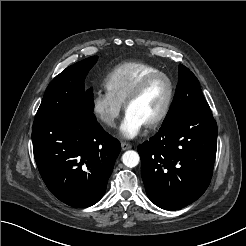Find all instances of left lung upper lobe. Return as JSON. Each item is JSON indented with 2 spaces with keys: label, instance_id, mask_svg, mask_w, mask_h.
<instances>
[{
  "label": "left lung upper lobe",
  "instance_id": "1",
  "mask_svg": "<svg viewBox=\"0 0 246 246\" xmlns=\"http://www.w3.org/2000/svg\"><path fill=\"white\" fill-rule=\"evenodd\" d=\"M198 79L184 65H179L178 84L175 97L163 124L191 110L207 107Z\"/></svg>",
  "mask_w": 246,
  "mask_h": 246
}]
</instances>
